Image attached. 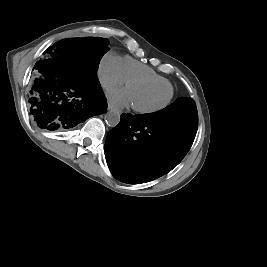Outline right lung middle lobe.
Returning <instances> with one entry per match:
<instances>
[{"mask_svg":"<svg viewBox=\"0 0 267 267\" xmlns=\"http://www.w3.org/2000/svg\"><path fill=\"white\" fill-rule=\"evenodd\" d=\"M108 44V39L101 37L68 38L58 41L51 50L69 53L85 74L97 77L100 60L109 50Z\"/></svg>","mask_w":267,"mask_h":267,"instance_id":"right-lung-middle-lobe-1","label":"right lung middle lobe"}]
</instances>
